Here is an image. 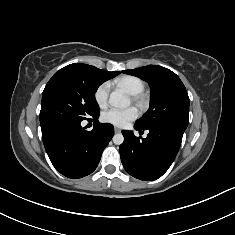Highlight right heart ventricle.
I'll use <instances>...</instances> for the list:
<instances>
[{
  "label": "right heart ventricle",
  "mask_w": 235,
  "mask_h": 235,
  "mask_svg": "<svg viewBox=\"0 0 235 235\" xmlns=\"http://www.w3.org/2000/svg\"><path fill=\"white\" fill-rule=\"evenodd\" d=\"M116 84L125 88L131 95H138L144 90V82L135 76H123L116 80Z\"/></svg>",
  "instance_id": "e07e8e85"
}]
</instances>
